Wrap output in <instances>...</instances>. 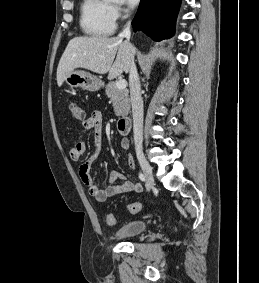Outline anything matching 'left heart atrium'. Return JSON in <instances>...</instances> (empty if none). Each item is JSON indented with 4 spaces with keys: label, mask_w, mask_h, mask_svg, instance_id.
<instances>
[{
    "label": "left heart atrium",
    "mask_w": 259,
    "mask_h": 283,
    "mask_svg": "<svg viewBox=\"0 0 259 283\" xmlns=\"http://www.w3.org/2000/svg\"><path fill=\"white\" fill-rule=\"evenodd\" d=\"M129 6L134 7L139 3V0H126Z\"/></svg>",
    "instance_id": "39dd6f15"
}]
</instances>
